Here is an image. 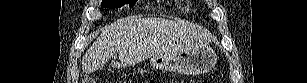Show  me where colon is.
I'll return each instance as SVG.
<instances>
[{
  "mask_svg": "<svg viewBox=\"0 0 307 83\" xmlns=\"http://www.w3.org/2000/svg\"><path fill=\"white\" fill-rule=\"evenodd\" d=\"M209 81L208 80H203L202 83H208ZM153 83V82H152Z\"/></svg>",
  "mask_w": 307,
  "mask_h": 83,
  "instance_id": "obj_1",
  "label": "colon"
}]
</instances>
